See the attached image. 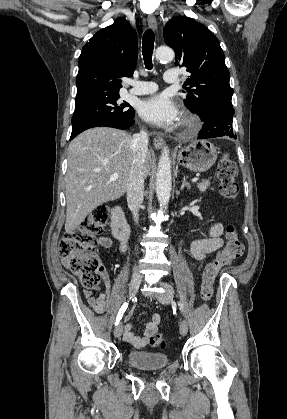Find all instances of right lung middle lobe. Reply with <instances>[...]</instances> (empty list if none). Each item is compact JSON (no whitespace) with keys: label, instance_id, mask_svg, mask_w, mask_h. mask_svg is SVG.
Returning a JSON list of instances; mask_svg holds the SVG:
<instances>
[{"label":"right lung middle lobe","instance_id":"dd1d6c3e","mask_svg":"<svg viewBox=\"0 0 287 419\" xmlns=\"http://www.w3.org/2000/svg\"><path fill=\"white\" fill-rule=\"evenodd\" d=\"M119 97L105 98L81 107H75L72 117V131L97 119H131L134 116V109L127 102L121 103L118 101Z\"/></svg>","mask_w":287,"mask_h":419}]
</instances>
